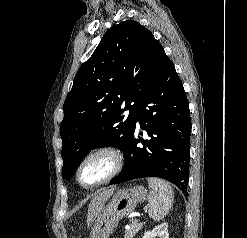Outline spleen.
I'll return each instance as SVG.
<instances>
[{"label": "spleen", "mask_w": 247, "mask_h": 238, "mask_svg": "<svg viewBox=\"0 0 247 238\" xmlns=\"http://www.w3.org/2000/svg\"><path fill=\"white\" fill-rule=\"evenodd\" d=\"M148 185L150 188L148 214L154 221H159L171 209L174 193L169 183L159 178H148Z\"/></svg>", "instance_id": "obj_1"}]
</instances>
